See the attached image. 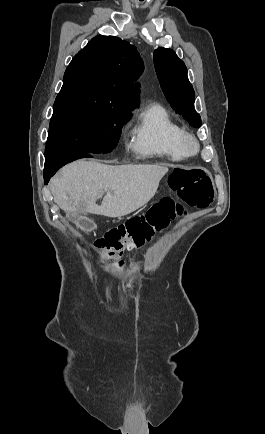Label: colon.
I'll list each match as a JSON object with an SVG mask.
<instances>
[{
  "label": "colon",
  "mask_w": 265,
  "mask_h": 434,
  "mask_svg": "<svg viewBox=\"0 0 265 434\" xmlns=\"http://www.w3.org/2000/svg\"><path fill=\"white\" fill-rule=\"evenodd\" d=\"M202 168H168L170 189L181 194V201L198 207L213 202L210 172ZM185 206L169 197L156 202L147 214L110 227L97 239L93 248L107 259L117 260L130 249H141L168 228L171 221L184 215ZM120 263V262H118Z\"/></svg>",
  "instance_id": "obj_1"
}]
</instances>
